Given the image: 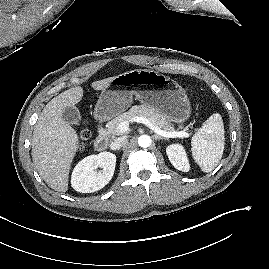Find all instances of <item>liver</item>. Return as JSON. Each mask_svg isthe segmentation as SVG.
<instances>
[{
  "instance_id": "liver-1",
  "label": "liver",
  "mask_w": 269,
  "mask_h": 269,
  "mask_svg": "<svg viewBox=\"0 0 269 269\" xmlns=\"http://www.w3.org/2000/svg\"><path fill=\"white\" fill-rule=\"evenodd\" d=\"M114 77L95 81V90L106 89ZM83 88H70L54 97L42 110L34 127L32 159L42 179L55 191L68 190L69 170L79 148L76 131L62 117L63 110L79 103Z\"/></svg>"
}]
</instances>
